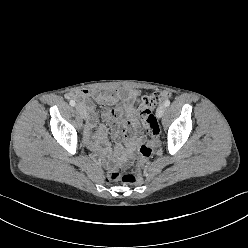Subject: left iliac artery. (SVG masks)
Masks as SVG:
<instances>
[{"label":"left iliac artery","mask_w":248,"mask_h":248,"mask_svg":"<svg viewBox=\"0 0 248 248\" xmlns=\"http://www.w3.org/2000/svg\"><path fill=\"white\" fill-rule=\"evenodd\" d=\"M164 105H165L166 107H168V106L170 105V101H169V100H166V101L164 102Z\"/></svg>","instance_id":"44dca946"}]
</instances>
